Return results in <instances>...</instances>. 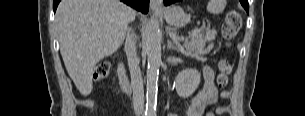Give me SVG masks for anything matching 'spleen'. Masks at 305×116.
<instances>
[{"instance_id": "3e777b00", "label": "spleen", "mask_w": 305, "mask_h": 116, "mask_svg": "<svg viewBox=\"0 0 305 116\" xmlns=\"http://www.w3.org/2000/svg\"><path fill=\"white\" fill-rule=\"evenodd\" d=\"M226 2L224 0H210L207 5V10L212 14L222 13Z\"/></svg>"}]
</instances>
